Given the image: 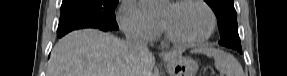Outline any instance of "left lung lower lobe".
<instances>
[{"mask_svg": "<svg viewBox=\"0 0 287 76\" xmlns=\"http://www.w3.org/2000/svg\"><path fill=\"white\" fill-rule=\"evenodd\" d=\"M232 49H235V50H237L238 52L242 53V48H241V47H235V48H232Z\"/></svg>", "mask_w": 287, "mask_h": 76, "instance_id": "0a47b994", "label": "left lung lower lobe"}]
</instances>
